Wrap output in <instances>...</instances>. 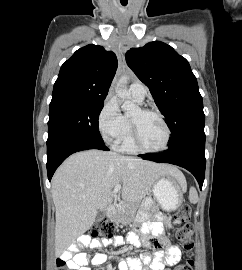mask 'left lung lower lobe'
Masks as SVG:
<instances>
[{"mask_svg":"<svg viewBox=\"0 0 242 270\" xmlns=\"http://www.w3.org/2000/svg\"><path fill=\"white\" fill-rule=\"evenodd\" d=\"M205 134L191 135L180 142L169 146L159 154H141L146 160L159 163H170L181 166L190 171L197 179L200 189L205 176Z\"/></svg>","mask_w":242,"mask_h":270,"instance_id":"0a47b994","label":"left lung lower lobe"}]
</instances>
